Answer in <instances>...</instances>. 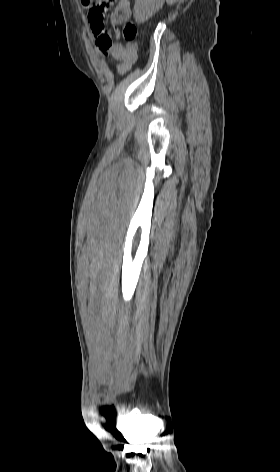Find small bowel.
Instances as JSON below:
<instances>
[{"instance_id": "small-bowel-1", "label": "small bowel", "mask_w": 280, "mask_h": 472, "mask_svg": "<svg viewBox=\"0 0 280 472\" xmlns=\"http://www.w3.org/2000/svg\"><path fill=\"white\" fill-rule=\"evenodd\" d=\"M82 4L87 6L83 0ZM131 17L130 0H118L111 14L113 25H120L127 22ZM91 31L94 37L95 45L102 55H111L115 60L120 62L118 73L124 75L131 68L135 61V49L130 50L120 42L115 41L105 25H97L90 22ZM116 38L119 37V31L114 29Z\"/></svg>"}]
</instances>
